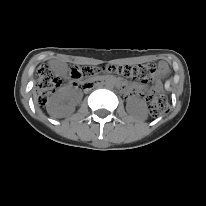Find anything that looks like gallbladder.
Wrapping results in <instances>:
<instances>
[{"label":"gallbladder","instance_id":"1","mask_svg":"<svg viewBox=\"0 0 206 206\" xmlns=\"http://www.w3.org/2000/svg\"><path fill=\"white\" fill-rule=\"evenodd\" d=\"M53 72L57 75H64L67 70V66L64 63H57L53 65Z\"/></svg>","mask_w":206,"mask_h":206}]
</instances>
